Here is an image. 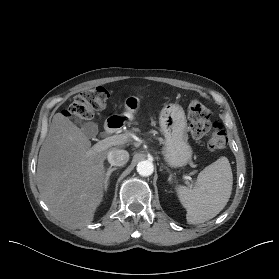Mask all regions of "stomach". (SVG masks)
<instances>
[{
	"label": "stomach",
	"mask_w": 279,
	"mask_h": 279,
	"mask_svg": "<svg viewBox=\"0 0 279 279\" xmlns=\"http://www.w3.org/2000/svg\"><path fill=\"white\" fill-rule=\"evenodd\" d=\"M140 100L129 96L125 100V112L120 117L132 120L138 110ZM160 130L164 135V158L171 167L186 165L192 157V149L187 143V120L184 110L177 104H167L159 115Z\"/></svg>",
	"instance_id": "1"
}]
</instances>
